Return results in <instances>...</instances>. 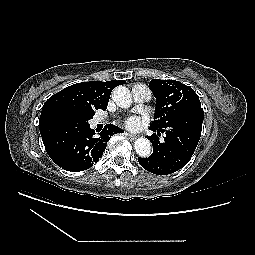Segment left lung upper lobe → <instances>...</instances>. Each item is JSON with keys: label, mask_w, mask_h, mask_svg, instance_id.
Returning <instances> with one entry per match:
<instances>
[{"label": "left lung upper lobe", "mask_w": 255, "mask_h": 255, "mask_svg": "<svg viewBox=\"0 0 255 255\" xmlns=\"http://www.w3.org/2000/svg\"><path fill=\"white\" fill-rule=\"evenodd\" d=\"M149 86L156 98L155 121L152 122L156 127L167 128L175 121L203 112L195 91L179 81L152 79Z\"/></svg>", "instance_id": "5c2ea615"}]
</instances>
